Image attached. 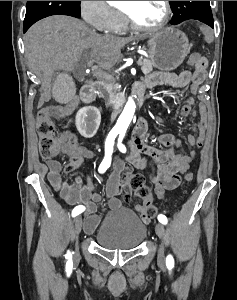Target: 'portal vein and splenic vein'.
<instances>
[{"mask_svg": "<svg viewBox=\"0 0 237 300\" xmlns=\"http://www.w3.org/2000/svg\"><path fill=\"white\" fill-rule=\"evenodd\" d=\"M136 62L139 66L142 65V62L140 60L139 61L137 60Z\"/></svg>", "mask_w": 237, "mask_h": 300, "instance_id": "obj_1", "label": "portal vein and splenic vein"}]
</instances>
